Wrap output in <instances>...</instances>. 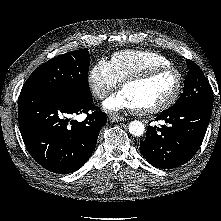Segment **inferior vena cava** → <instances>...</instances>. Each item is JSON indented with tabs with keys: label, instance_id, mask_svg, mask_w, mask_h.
Instances as JSON below:
<instances>
[{
	"label": "inferior vena cava",
	"instance_id": "1",
	"mask_svg": "<svg viewBox=\"0 0 221 221\" xmlns=\"http://www.w3.org/2000/svg\"><path fill=\"white\" fill-rule=\"evenodd\" d=\"M107 95H108V91H106V90L102 91L101 94H100V96L102 98L106 97Z\"/></svg>",
	"mask_w": 221,
	"mask_h": 221
}]
</instances>
